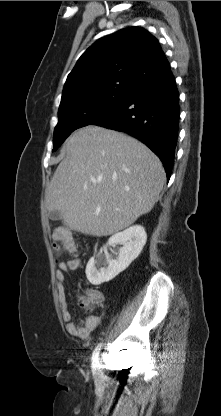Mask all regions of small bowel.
<instances>
[{
  "instance_id": "c3829d8e",
  "label": "small bowel",
  "mask_w": 221,
  "mask_h": 416,
  "mask_svg": "<svg viewBox=\"0 0 221 416\" xmlns=\"http://www.w3.org/2000/svg\"><path fill=\"white\" fill-rule=\"evenodd\" d=\"M81 266V260L75 258L68 261H60L58 263V269L56 271V287L58 293V300L60 303L61 313L63 321L66 324V329L68 333L73 336L83 340H87L91 333L97 329L100 324V318L95 315L88 316L81 320L79 323H76L72 319L71 312L69 311L67 295L65 289V279L66 273L69 271H75ZM97 293L102 300V295L99 292Z\"/></svg>"
}]
</instances>
